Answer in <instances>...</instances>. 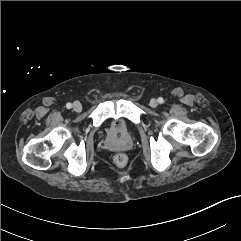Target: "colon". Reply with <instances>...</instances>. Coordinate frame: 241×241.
I'll list each match as a JSON object with an SVG mask.
<instances>
[{
	"instance_id": "1",
	"label": "colon",
	"mask_w": 241,
	"mask_h": 241,
	"mask_svg": "<svg viewBox=\"0 0 241 241\" xmlns=\"http://www.w3.org/2000/svg\"><path fill=\"white\" fill-rule=\"evenodd\" d=\"M114 161L117 165L119 166H123L126 164L127 162V157L125 154L123 153H118L114 156Z\"/></svg>"
}]
</instances>
